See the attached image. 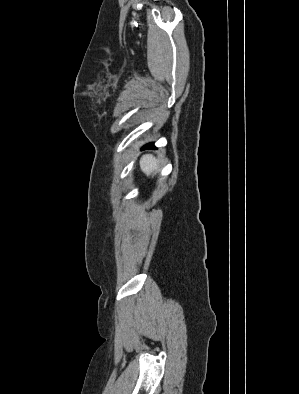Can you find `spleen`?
Returning <instances> with one entry per match:
<instances>
[{
  "instance_id": "spleen-1",
  "label": "spleen",
  "mask_w": 299,
  "mask_h": 394,
  "mask_svg": "<svg viewBox=\"0 0 299 394\" xmlns=\"http://www.w3.org/2000/svg\"><path fill=\"white\" fill-rule=\"evenodd\" d=\"M160 161L151 154L143 155L140 159V168L146 176L159 171Z\"/></svg>"
}]
</instances>
